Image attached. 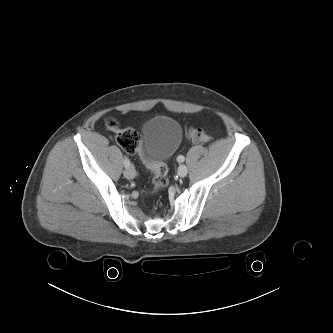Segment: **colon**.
Returning <instances> with one entry per match:
<instances>
[{
  "label": "colon",
  "mask_w": 333,
  "mask_h": 333,
  "mask_svg": "<svg viewBox=\"0 0 333 333\" xmlns=\"http://www.w3.org/2000/svg\"><path fill=\"white\" fill-rule=\"evenodd\" d=\"M106 127L116 135V142L128 154L139 155L142 162L154 174V191L166 187L169 183L168 169L164 163H153L147 159L142 148L141 135L132 128L120 129L114 118L106 121ZM187 137L195 143L204 142L209 136L200 128L191 127L187 131Z\"/></svg>",
  "instance_id": "1"
}]
</instances>
